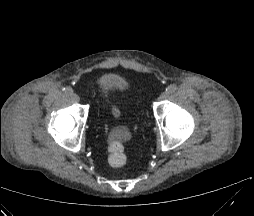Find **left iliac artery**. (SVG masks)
I'll use <instances>...</instances> for the list:
<instances>
[{"instance_id":"obj_1","label":"left iliac artery","mask_w":254,"mask_h":216,"mask_svg":"<svg viewBox=\"0 0 254 216\" xmlns=\"http://www.w3.org/2000/svg\"><path fill=\"white\" fill-rule=\"evenodd\" d=\"M176 89H177L176 85L171 84V85H169V86L166 88V91H167L168 93L172 94V93H174V92L176 91Z\"/></svg>"}]
</instances>
